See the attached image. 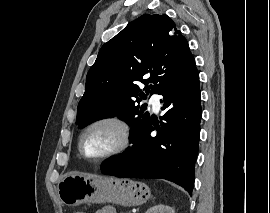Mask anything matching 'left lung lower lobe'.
Instances as JSON below:
<instances>
[{
    "mask_svg": "<svg viewBox=\"0 0 270 213\" xmlns=\"http://www.w3.org/2000/svg\"><path fill=\"white\" fill-rule=\"evenodd\" d=\"M164 97L160 126L152 119L130 139L129 149L103 163V174L127 178H162L179 184L190 194L198 154L200 120L199 74L196 65L171 81L159 93ZM155 128L156 137L150 133Z\"/></svg>",
    "mask_w": 270,
    "mask_h": 213,
    "instance_id": "left-lung-lower-lobe-1",
    "label": "left lung lower lobe"
}]
</instances>
